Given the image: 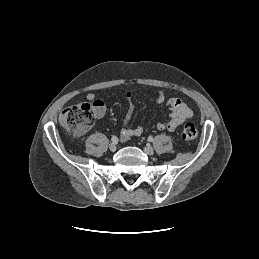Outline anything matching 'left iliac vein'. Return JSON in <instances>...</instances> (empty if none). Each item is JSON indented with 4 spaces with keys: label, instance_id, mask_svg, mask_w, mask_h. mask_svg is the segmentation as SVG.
Wrapping results in <instances>:
<instances>
[{
    "label": "left iliac vein",
    "instance_id": "obj_1",
    "mask_svg": "<svg viewBox=\"0 0 259 259\" xmlns=\"http://www.w3.org/2000/svg\"><path fill=\"white\" fill-rule=\"evenodd\" d=\"M144 152L147 155H153L154 154V149L150 145H147V146L144 147Z\"/></svg>",
    "mask_w": 259,
    "mask_h": 259
}]
</instances>
